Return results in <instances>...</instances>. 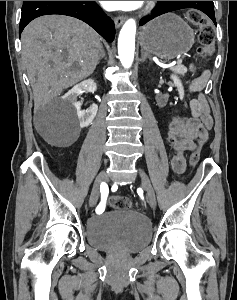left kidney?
Here are the masks:
<instances>
[{
	"label": "left kidney",
	"instance_id": "obj_1",
	"mask_svg": "<svg viewBox=\"0 0 237 300\" xmlns=\"http://www.w3.org/2000/svg\"><path fill=\"white\" fill-rule=\"evenodd\" d=\"M171 79H172V81H174V83L178 89L180 99H184V87H183L179 77H176V75H171Z\"/></svg>",
	"mask_w": 237,
	"mask_h": 300
}]
</instances>
